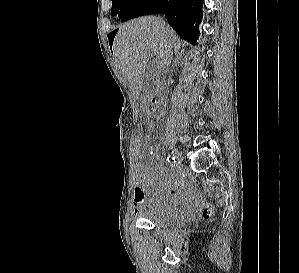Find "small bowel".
Instances as JSON below:
<instances>
[{"label": "small bowel", "instance_id": "c3829d8e", "mask_svg": "<svg viewBox=\"0 0 299 273\" xmlns=\"http://www.w3.org/2000/svg\"><path fill=\"white\" fill-rule=\"evenodd\" d=\"M146 127L148 132L137 139L138 151L143 156L156 159L155 149L151 145L145 147L143 144L144 138L151 141L155 122L147 120ZM132 203L134 213L148 209L161 213L178 212L189 217L199 208L198 201L184 189L181 180L169 173L161 163L137 165Z\"/></svg>", "mask_w": 299, "mask_h": 273}]
</instances>
